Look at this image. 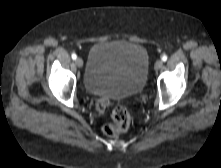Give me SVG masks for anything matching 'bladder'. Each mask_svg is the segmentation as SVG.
Instances as JSON below:
<instances>
[{"label": "bladder", "mask_w": 221, "mask_h": 168, "mask_svg": "<svg viewBox=\"0 0 221 168\" xmlns=\"http://www.w3.org/2000/svg\"><path fill=\"white\" fill-rule=\"evenodd\" d=\"M148 70L149 56L142 45L126 41L101 42L90 49L84 84L96 95L127 97L143 90Z\"/></svg>", "instance_id": "bladder-1"}]
</instances>
